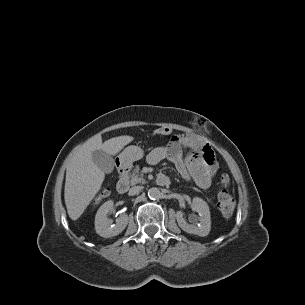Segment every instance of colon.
<instances>
[{
  "label": "colon",
  "instance_id": "5ec220e1",
  "mask_svg": "<svg viewBox=\"0 0 305 305\" xmlns=\"http://www.w3.org/2000/svg\"><path fill=\"white\" fill-rule=\"evenodd\" d=\"M172 130L168 127H161L155 130L156 135H167L170 134ZM229 177L224 175L221 178V185L222 189L218 194L217 198V207L220 210V212L225 215L229 216L233 213L235 206H236V201L234 197L232 196L230 190H229ZM109 194V189L107 187H104L101 189L96 197V202L102 200Z\"/></svg>",
  "mask_w": 305,
  "mask_h": 305
}]
</instances>
